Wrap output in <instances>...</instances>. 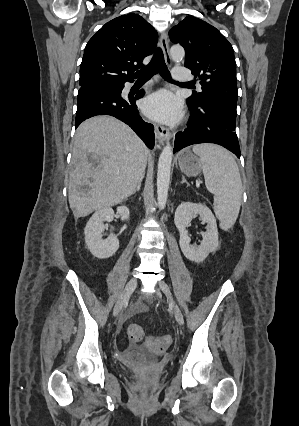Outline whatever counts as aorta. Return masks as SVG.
Returning a JSON list of instances; mask_svg holds the SVG:
<instances>
[{"instance_id": "1", "label": "aorta", "mask_w": 299, "mask_h": 426, "mask_svg": "<svg viewBox=\"0 0 299 426\" xmlns=\"http://www.w3.org/2000/svg\"><path fill=\"white\" fill-rule=\"evenodd\" d=\"M185 56L184 48L180 45H173L170 49V57L174 62H180ZM173 157V148L168 143L162 150L157 170V202L160 209H164L168 197L170 183V171Z\"/></svg>"}]
</instances>
